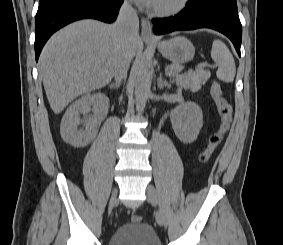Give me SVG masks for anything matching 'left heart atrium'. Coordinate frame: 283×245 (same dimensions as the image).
<instances>
[{"label": "left heart atrium", "instance_id": "left-heart-atrium-1", "mask_svg": "<svg viewBox=\"0 0 283 245\" xmlns=\"http://www.w3.org/2000/svg\"><path fill=\"white\" fill-rule=\"evenodd\" d=\"M134 1L146 6H153L156 2V0H134Z\"/></svg>", "mask_w": 283, "mask_h": 245}]
</instances>
